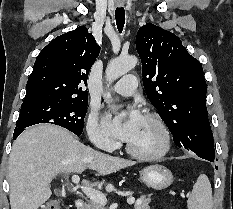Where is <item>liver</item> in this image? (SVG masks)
Here are the masks:
<instances>
[{"mask_svg": "<svg viewBox=\"0 0 233 209\" xmlns=\"http://www.w3.org/2000/svg\"><path fill=\"white\" fill-rule=\"evenodd\" d=\"M132 165L85 146L64 128L31 127L14 142L9 157L11 209H38L51 197L50 183L59 173L89 168L102 176Z\"/></svg>", "mask_w": 233, "mask_h": 209, "instance_id": "1", "label": "liver"}]
</instances>
